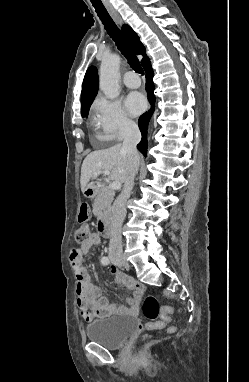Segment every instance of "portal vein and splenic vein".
<instances>
[{
  "label": "portal vein and splenic vein",
  "mask_w": 249,
  "mask_h": 382,
  "mask_svg": "<svg viewBox=\"0 0 249 382\" xmlns=\"http://www.w3.org/2000/svg\"><path fill=\"white\" fill-rule=\"evenodd\" d=\"M100 173H103V174H105V175H109V174H110V172L107 171V170L97 171V172H95L94 174H95V175H98V174H100ZM109 188H110L111 190H118V189L121 188V183H120L119 181H113V182L110 183Z\"/></svg>",
  "instance_id": "obj_1"
}]
</instances>
